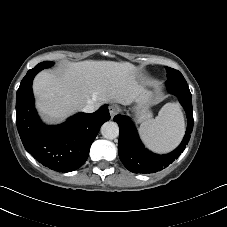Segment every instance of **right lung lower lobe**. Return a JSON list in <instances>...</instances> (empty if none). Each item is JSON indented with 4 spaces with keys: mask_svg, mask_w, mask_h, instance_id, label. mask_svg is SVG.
<instances>
[{
    "mask_svg": "<svg viewBox=\"0 0 227 227\" xmlns=\"http://www.w3.org/2000/svg\"><path fill=\"white\" fill-rule=\"evenodd\" d=\"M31 69L17 90L16 124L22 143L39 163L58 172H71L88 158L102 124L110 119L107 105L96 112L78 113L57 126L43 124L34 107L32 81L39 72Z\"/></svg>",
    "mask_w": 227,
    "mask_h": 227,
    "instance_id": "1",
    "label": "right lung lower lobe"
}]
</instances>
